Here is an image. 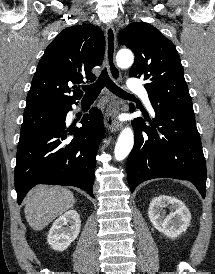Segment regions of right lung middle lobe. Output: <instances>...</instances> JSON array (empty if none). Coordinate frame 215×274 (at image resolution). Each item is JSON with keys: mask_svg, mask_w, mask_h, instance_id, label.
<instances>
[{"mask_svg": "<svg viewBox=\"0 0 215 274\" xmlns=\"http://www.w3.org/2000/svg\"><path fill=\"white\" fill-rule=\"evenodd\" d=\"M64 109L61 108H39L24 111V119L21 127L20 138L44 127L60 117Z\"/></svg>", "mask_w": 215, "mask_h": 274, "instance_id": "dd1d6c3e", "label": "right lung middle lobe"}]
</instances>
